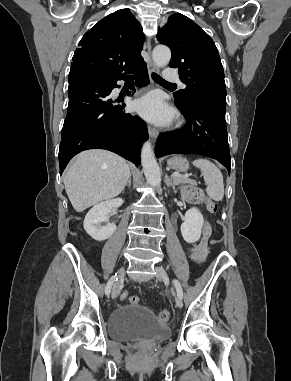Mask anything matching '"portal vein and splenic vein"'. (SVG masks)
Wrapping results in <instances>:
<instances>
[{
	"mask_svg": "<svg viewBox=\"0 0 291 381\" xmlns=\"http://www.w3.org/2000/svg\"><path fill=\"white\" fill-rule=\"evenodd\" d=\"M171 177H172V178H174V177H185V178H188V175H182V174H180V173H173V174L171 175Z\"/></svg>",
	"mask_w": 291,
	"mask_h": 381,
	"instance_id": "18ae733b",
	"label": "portal vein and splenic vein"
}]
</instances>
